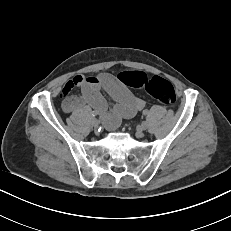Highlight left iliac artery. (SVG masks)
Here are the masks:
<instances>
[{
  "instance_id": "left-iliac-artery-1",
  "label": "left iliac artery",
  "mask_w": 231,
  "mask_h": 231,
  "mask_svg": "<svg viewBox=\"0 0 231 231\" xmlns=\"http://www.w3.org/2000/svg\"><path fill=\"white\" fill-rule=\"evenodd\" d=\"M143 114H144V115H147V114H148V110H144V111H143Z\"/></svg>"
}]
</instances>
